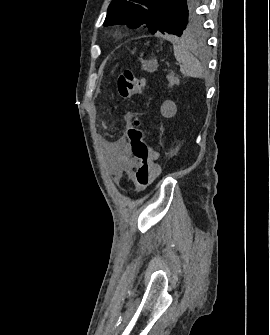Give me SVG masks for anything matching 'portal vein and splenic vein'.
Returning <instances> with one entry per match:
<instances>
[{
    "mask_svg": "<svg viewBox=\"0 0 270 335\" xmlns=\"http://www.w3.org/2000/svg\"><path fill=\"white\" fill-rule=\"evenodd\" d=\"M176 65H177L178 67H180L182 64H181L180 62H178Z\"/></svg>",
    "mask_w": 270,
    "mask_h": 335,
    "instance_id": "portal-vein-and-splenic-vein-1",
    "label": "portal vein and splenic vein"
}]
</instances>
